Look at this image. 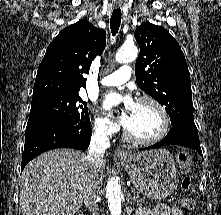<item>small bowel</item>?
Returning a JSON list of instances; mask_svg holds the SVG:
<instances>
[{"label":"small bowel","mask_w":221,"mask_h":215,"mask_svg":"<svg viewBox=\"0 0 221 215\" xmlns=\"http://www.w3.org/2000/svg\"><path fill=\"white\" fill-rule=\"evenodd\" d=\"M137 215H183V213L178 207L160 204L155 208L142 207L138 209Z\"/></svg>","instance_id":"1"}]
</instances>
